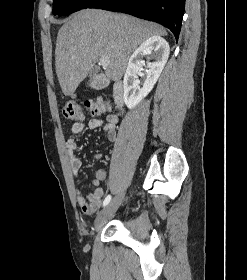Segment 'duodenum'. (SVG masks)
Segmentation results:
<instances>
[{"label": "duodenum", "mask_w": 247, "mask_h": 280, "mask_svg": "<svg viewBox=\"0 0 247 280\" xmlns=\"http://www.w3.org/2000/svg\"><path fill=\"white\" fill-rule=\"evenodd\" d=\"M105 84H106V81L102 78H99L96 81L95 86H96V88H102L105 86ZM113 99L117 106H122L124 103V89H123V85L120 81L116 82L113 85Z\"/></svg>", "instance_id": "410a0bca"}]
</instances>
